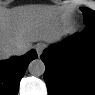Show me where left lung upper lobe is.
<instances>
[{
	"mask_svg": "<svg viewBox=\"0 0 95 95\" xmlns=\"http://www.w3.org/2000/svg\"><path fill=\"white\" fill-rule=\"evenodd\" d=\"M81 11L83 13L84 22L86 26L95 24V11L86 7L81 8Z\"/></svg>",
	"mask_w": 95,
	"mask_h": 95,
	"instance_id": "left-lung-upper-lobe-1",
	"label": "left lung upper lobe"
}]
</instances>
